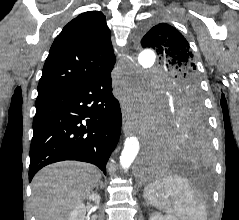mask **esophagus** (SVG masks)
<instances>
[{"label": "esophagus", "instance_id": "34e87169", "mask_svg": "<svg viewBox=\"0 0 239 220\" xmlns=\"http://www.w3.org/2000/svg\"><path fill=\"white\" fill-rule=\"evenodd\" d=\"M122 112L124 113L125 111L123 110ZM124 121L125 122H124L123 129H124L125 134H127L130 132V127H129V122H128L127 117H124Z\"/></svg>", "mask_w": 239, "mask_h": 220}]
</instances>
